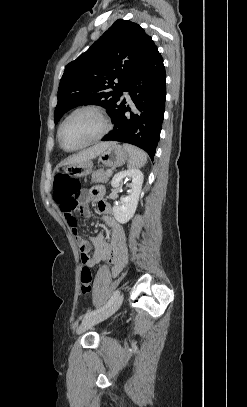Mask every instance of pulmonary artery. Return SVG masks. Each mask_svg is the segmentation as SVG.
Here are the masks:
<instances>
[{"instance_id": "pulmonary-artery-1", "label": "pulmonary artery", "mask_w": 247, "mask_h": 407, "mask_svg": "<svg viewBox=\"0 0 247 407\" xmlns=\"http://www.w3.org/2000/svg\"><path fill=\"white\" fill-rule=\"evenodd\" d=\"M125 95H126V96L128 95L127 92H125Z\"/></svg>"}]
</instances>
